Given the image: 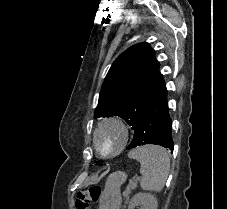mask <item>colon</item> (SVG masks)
I'll return each instance as SVG.
<instances>
[{
	"mask_svg": "<svg viewBox=\"0 0 227 209\" xmlns=\"http://www.w3.org/2000/svg\"><path fill=\"white\" fill-rule=\"evenodd\" d=\"M101 192L102 189L96 185L78 191L75 200L76 209H90V206L100 199Z\"/></svg>",
	"mask_w": 227,
	"mask_h": 209,
	"instance_id": "5ec220e1",
	"label": "colon"
}]
</instances>
